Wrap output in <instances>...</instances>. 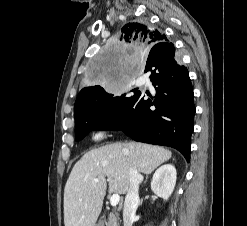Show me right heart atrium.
Listing matches in <instances>:
<instances>
[{
    "label": "right heart atrium",
    "mask_w": 247,
    "mask_h": 226,
    "mask_svg": "<svg viewBox=\"0 0 247 226\" xmlns=\"http://www.w3.org/2000/svg\"><path fill=\"white\" fill-rule=\"evenodd\" d=\"M107 133H108L107 130H103V129L102 130H98V131H96L94 133L93 139L95 141H100V140L104 139L107 136Z\"/></svg>",
    "instance_id": "right-heart-atrium-1"
}]
</instances>
